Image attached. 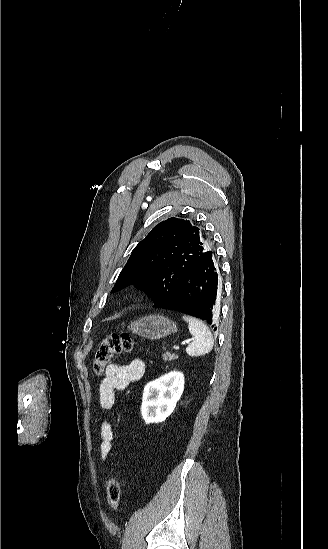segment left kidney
I'll return each mask as SVG.
<instances>
[{
  "label": "left kidney",
  "mask_w": 328,
  "mask_h": 549,
  "mask_svg": "<svg viewBox=\"0 0 328 549\" xmlns=\"http://www.w3.org/2000/svg\"><path fill=\"white\" fill-rule=\"evenodd\" d=\"M184 391V375L172 371L156 381L147 383L143 397L141 413L145 423H162L173 413L177 401Z\"/></svg>",
  "instance_id": "5707ae66"
}]
</instances>
